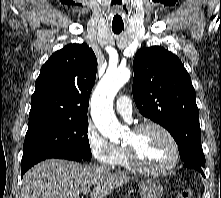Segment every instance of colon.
Masks as SVG:
<instances>
[{"label": "colon", "instance_id": "5ec220e1", "mask_svg": "<svg viewBox=\"0 0 221 198\" xmlns=\"http://www.w3.org/2000/svg\"><path fill=\"white\" fill-rule=\"evenodd\" d=\"M193 189L191 187H183L178 192L177 198H192Z\"/></svg>", "mask_w": 221, "mask_h": 198}]
</instances>
